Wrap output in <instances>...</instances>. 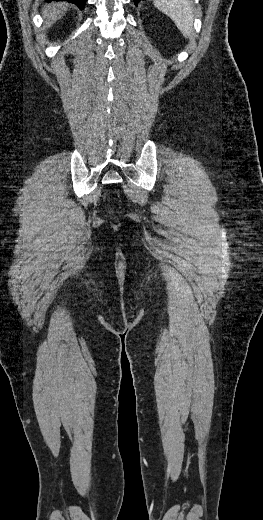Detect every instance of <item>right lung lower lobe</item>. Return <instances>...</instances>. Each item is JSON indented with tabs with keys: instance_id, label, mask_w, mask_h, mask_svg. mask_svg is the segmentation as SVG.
<instances>
[{
	"instance_id": "98d812e1",
	"label": "right lung lower lobe",
	"mask_w": 263,
	"mask_h": 520,
	"mask_svg": "<svg viewBox=\"0 0 263 520\" xmlns=\"http://www.w3.org/2000/svg\"><path fill=\"white\" fill-rule=\"evenodd\" d=\"M46 1H52V0H46ZM54 1H67L76 4L79 6L80 9L84 8L86 0H54Z\"/></svg>"
}]
</instances>
